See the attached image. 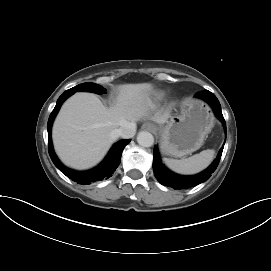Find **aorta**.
I'll use <instances>...</instances> for the list:
<instances>
[{
	"mask_svg": "<svg viewBox=\"0 0 271 271\" xmlns=\"http://www.w3.org/2000/svg\"><path fill=\"white\" fill-rule=\"evenodd\" d=\"M137 142L142 147H151L154 144V137L147 131H141L137 135Z\"/></svg>",
	"mask_w": 271,
	"mask_h": 271,
	"instance_id": "762f6f07",
	"label": "aorta"
}]
</instances>
